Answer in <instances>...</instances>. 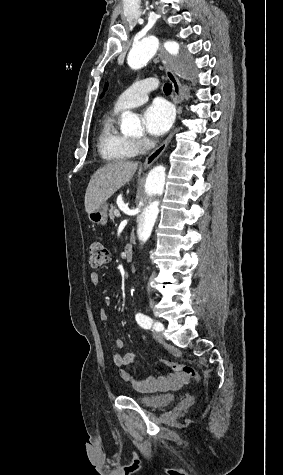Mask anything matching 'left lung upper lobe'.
Instances as JSON below:
<instances>
[{
  "label": "left lung upper lobe",
  "instance_id": "1",
  "mask_svg": "<svg viewBox=\"0 0 283 475\" xmlns=\"http://www.w3.org/2000/svg\"><path fill=\"white\" fill-rule=\"evenodd\" d=\"M107 87H108V83L105 84V89L104 90H106ZM100 97H103V94Z\"/></svg>",
  "mask_w": 283,
  "mask_h": 475
}]
</instances>
